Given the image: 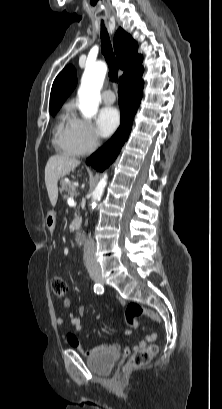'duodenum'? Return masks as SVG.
<instances>
[{
  "instance_id": "1",
  "label": "duodenum",
  "mask_w": 222,
  "mask_h": 409,
  "mask_svg": "<svg viewBox=\"0 0 222 409\" xmlns=\"http://www.w3.org/2000/svg\"><path fill=\"white\" fill-rule=\"evenodd\" d=\"M72 224H73V227H74L76 230H78V229L81 227V221H80V219H74V220L72 221Z\"/></svg>"
}]
</instances>
